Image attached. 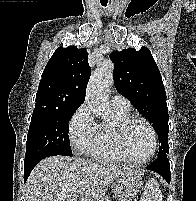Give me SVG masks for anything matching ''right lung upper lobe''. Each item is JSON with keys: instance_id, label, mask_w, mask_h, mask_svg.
Returning a JSON list of instances; mask_svg holds the SVG:
<instances>
[{"instance_id": "cb5924a9", "label": "right lung upper lobe", "mask_w": 196, "mask_h": 201, "mask_svg": "<svg viewBox=\"0 0 196 201\" xmlns=\"http://www.w3.org/2000/svg\"><path fill=\"white\" fill-rule=\"evenodd\" d=\"M86 49L76 46L56 49L40 80L36 107L66 109L79 107L85 100L91 68Z\"/></svg>"}]
</instances>
